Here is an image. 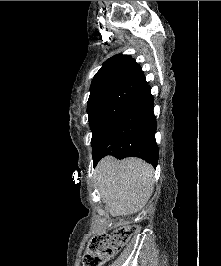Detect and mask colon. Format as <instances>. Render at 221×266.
<instances>
[{
    "mask_svg": "<svg viewBox=\"0 0 221 266\" xmlns=\"http://www.w3.org/2000/svg\"><path fill=\"white\" fill-rule=\"evenodd\" d=\"M137 230L136 225H127L112 232L94 236L88 241L83 266H102L125 246Z\"/></svg>",
    "mask_w": 221,
    "mask_h": 266,
    "instance_id": "colon-1",
    "label": "colon"
}]
</instances>
